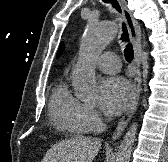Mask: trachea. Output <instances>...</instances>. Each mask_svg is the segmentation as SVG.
<instances>
[{
  "instance_id": "1",
  "label": "trachea",
  "mask_w": 168,
  "mask_h": 162,
  "mask_svg": "<svg viewBox=\"0 0 168 162\" xmlns=\"http://www.w3.org/2000/svg\"><path fill=\"white\" fill-rule=\"evenodd\" d=\"M102 1L106 3H110L113 6V8H115L119 13H121V7L117 0H102ZM121 40L127 43L124 49V56L128 62H131L134 58V51H133L132 45L129 43V34L127 31V27L124 23H122Z\"/></svg>"
}]
</instances>
